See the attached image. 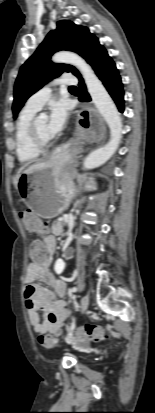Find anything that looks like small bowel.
<instances>
[{
    "mask_svg": "<svg viewBox=\"0 0 155 413\" xmlns=\"http://www.w3.org/2000/svg\"><path fill=\"white\" fill-rule=\"evenodd\" d=\"M19 216L23 218V227L29 231H44V218H35L32 209H21ZM48 257L41 263L32 262L27 267L24 297L30 323L35 332L50 335L52 338L60 334V329L68 321L70 312L63 296L66 293V283L49 270V257L55 249V239L52 235L44 238ZM38 280L40 284L35 283ZM39 312H42L41 320Z\"/></svg>",
    "mask_w": 155,
    "mask_h": 413,
    "instance_id": "1",
    "label": "small bowel"
}]
</instances>
